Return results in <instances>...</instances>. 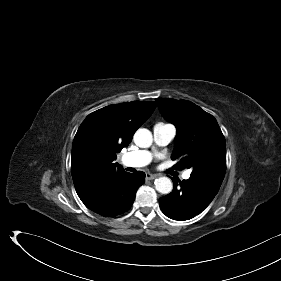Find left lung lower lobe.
Instances as JSON below:
<instances>
[{"mask_svg": "<svg viewBox=\"0 0 281 281\" xmlns=\"http://www.w3.org/2000/svg\"><path fill=\"white\" fill-rule=\"evenodd\" d=\"M173 182L172 193L160 198L159 205L167 217L184 221L195 217L210 204L222 180L192 173L188 180Z\"/></svg>", "mask_w": 281, "mask_h": 281, "instance_id": "0a47b994", "label": "left lung lower lobe"}]
</instances>
